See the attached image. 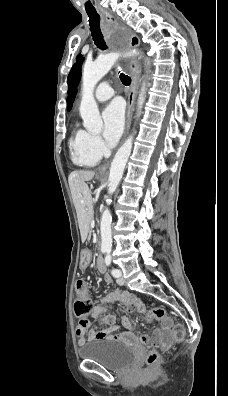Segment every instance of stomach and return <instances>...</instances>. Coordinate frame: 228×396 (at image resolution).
Masks as SVG:
<instances>
[{
  "label": "stomach",
  "mask_w": 228,
  "mask_h": 396,
  "mask_svg": "<svg viewBox=\"0 0 228 396\" xmlns=\"http://www.w3.org/2000/svg\"><path fill=\"white\" fill-rule=\"evenodd\" d=\"M100 179H102V177H100ZM83 252H84V253H87V250L85 249Z\"/></svg>",
  "instance_id": "0dacf381"
}]
</instances>
